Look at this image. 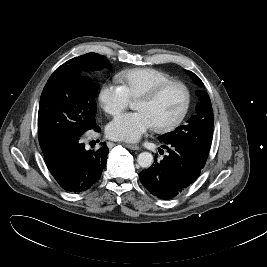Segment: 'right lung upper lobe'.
<instances>
[{"label":"right lung upper lobe","mask_w":267,"mask_h":267,"mask_svg":"<svg viewBox=\"0 0 267 267\" xmlns=\"http://www.w3.org/2000/svg\"><path fill=\"white\" fill-rule=\"evenodd\" d=\"M51 150V149H50ZM50 150L44 151V154L48 153Z\"/></svg>","instance_id":"right-lung-upper-lobe-1"}]
</instances>
